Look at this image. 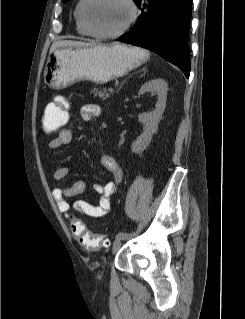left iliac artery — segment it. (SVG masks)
Instances as JSON below:
<instances>
[{
	"mask_svg": "<svg viewBox=\"0 0 245 319\" xmlns=\"http://www.w3.org/2000/svg\"><path fill=\"white\" fill-rule=\"evenodd\" d=\"M135 233H133L134 235ZM132 236V234H129V233H123V232H119L117 235H116V238H128Z\"/></svg>",
	"mask_w": 245,
	"mask_h": 319,
	"instance_id": "obj_1",
	"label": "left iliac artery"
}]
</instances>
